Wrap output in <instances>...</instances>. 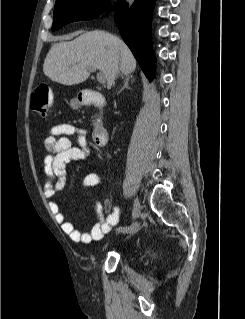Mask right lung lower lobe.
<instances>
[{"mask_svg":"<svg viewBox=\"0 0 245 319\" xmlns=\"http://www.w3.org/2000/svg\"><path fill=\"white\" fill-rule=\"evenodd\" d=\"M155 0H134L128 5L119 0L115 22L146 77L153 79L154 54L151 43V19Z\"/></svg>","mask_w":245,"mask_h":319,"instance_id":"obj_1","label":"right lung lower lobe"}]
</instances>
